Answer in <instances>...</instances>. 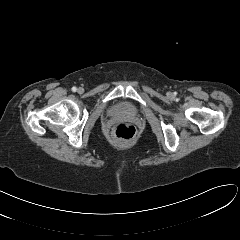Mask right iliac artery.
<instances>
[{
    "label": "right iliac artery",
    "instance_id": "obj_1",
    "mask_svg": "<svg viewBox=\"0 0 240 240\" xmlns=\"http://www.w3.org/2000/svg\"><path fill=\"white\" fill-rule=\"evenodd\" d=\"M72 91L73 92H76L77 91V88L74 86V87H72Z\"/></svg>",
    "mask_w": 240,
    "mask_h": 240
}]
</instances>
